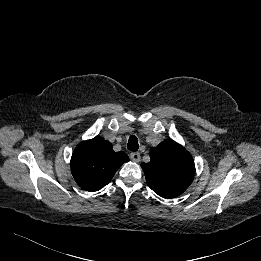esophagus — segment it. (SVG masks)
Segmentation results:
<instances>
[{"label": "esophagus", "instance_id": "1", "mask_svg": "<svg viewBox=\"0 0 261 261\" xmlns=\"http://www.w3.org/2000/svg\"><path fill=\"white\" fill-rule=\"evenodd\" d=\"M130 158L134 162H139L140 161V154L138 152H132L130 154Z\"/></svg>", "mask_w": 261, "mask_h": 261}]
</instances>
